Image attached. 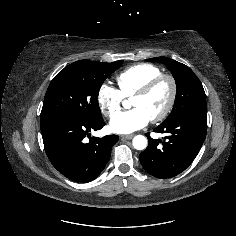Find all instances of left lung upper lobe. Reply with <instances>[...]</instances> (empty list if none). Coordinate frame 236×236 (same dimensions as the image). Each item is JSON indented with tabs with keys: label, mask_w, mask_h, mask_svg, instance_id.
I'll return each mask as SVG.
<instances>
[{
	"label": "left lung upper lobe",
	"mask_w": 236,
	"mask_h": 236,
	"mask_svg": "<svg viewBox=\"0 0 236 236\" xmlns=\"http://www.w3.org/2000/svg\"><path fill=\"white\" fill-rule=\"evenodd\" d=\"M146 61L165 64L176 81L175 103L163 124L177 119L190 110L206 108V96L203 86L188 66L167 57H156Z\"/></svg>",
	"instance_id": "left-lung-upper-lobe-1"
}]
</instances>
